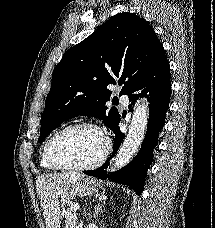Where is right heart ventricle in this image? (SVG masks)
Segmentation results:
<instances>
[{
	"instance_id": "right-heart-ventricle-1",
	"label": "right heart ventricle",
	"mask_w": 215,
	"mask_h": 228,
	"mask_svg": "<svg viewBox=\"0 0 215 228\" xmlns=\"http://www.w3.org/2000/svg\"><path fill=\"white\" fill-rule=\"evenodd\" d=\"M48 140H49V139H48ZM48 140L44 143V145H43V147H42V149H41V155H40V165H41L42 169H43L44 171H47V172L53 171V170H54V169L50 168V167L47 165V163H46V161H45V157H44V150H45V146H46Z\"/></svg>"
}]
</instances>
